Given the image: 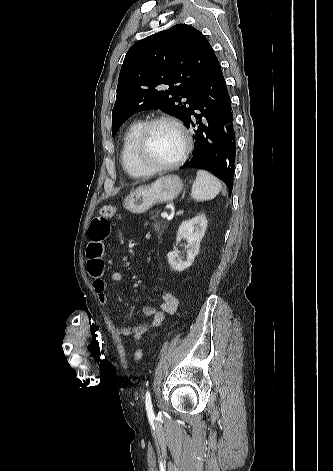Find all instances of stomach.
Wrapping results in <instances>:
<instances>
[{"instance_id":"0dacf381","label":"stomach","mask_w":333,"mask_h":471,"mask_svg":"<svg viewBox=\"0 0 333 471\" xmlns=\"http://www.w3.org/2000/svg\"><path fill=\"white\" fill-rule=\"evenodd\" d=\"M183 188L182 180L177 175H166L154 183L141 186L131 192L123 201L126 210L134 214H142L152 206L174 200Z\"/></svg>"}]
</instances>
